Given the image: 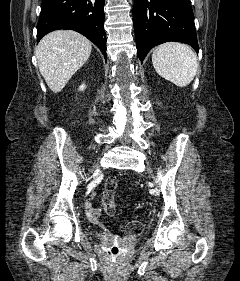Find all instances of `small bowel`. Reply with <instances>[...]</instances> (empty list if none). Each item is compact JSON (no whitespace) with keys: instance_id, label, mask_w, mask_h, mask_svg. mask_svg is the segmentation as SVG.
Instances as JSON below:
<instances>
[{"instance_id":"small-bowel-1","label":"small bowel","mask_w":240,"mask_h":281,"mask_svg":"<svg viewBox=\"0 0 240 281\" xmlns=\"http://www.w3.org/2000/svg\"><path fill=\"white\" fill-rule=\"evenodd\" d=\"M84 211L88 219L92 222H96L101 215V210L92 206L89 201L85 203Z\"/></svg>"}]
</instances>
